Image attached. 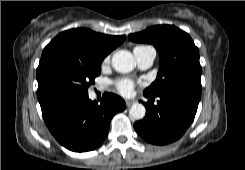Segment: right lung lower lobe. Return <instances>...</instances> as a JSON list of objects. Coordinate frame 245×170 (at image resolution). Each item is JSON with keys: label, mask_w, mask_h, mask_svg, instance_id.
<instances>
[{"label": "right lung lower lobe", "mask_w": 245, "mask_h": 170, "mask_svg": "<svg viewBox=\"0 0 245 170\" xmlns=\"http://www.w3.org/2000/svg\"><path fill=\"white\" fill-rule=\"evenodd\" d=\"M125 108L122 98L105 93L99 104L84 95L42 109V115L51 134L61 145L71 151L86 152L102 144L112 117Z\"/></svg>", "instance_id": "right-lung-lower-lobe-1"}]
</instances>
